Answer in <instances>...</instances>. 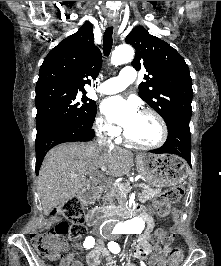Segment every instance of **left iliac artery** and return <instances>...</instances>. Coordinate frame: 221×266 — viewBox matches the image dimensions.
<instances>
[{
	"label": "left iliac artery",
	"mask_w": 221,
	"mask_h": 266,
	"mask_svg": "<svg viewBox=\"0 0 221 266\" xmlns=\"http://www.w3.org/2000/svg\"><path fill=\"white\" fill-rule=\"evenodd\" d=\"M108 249L114 254H117L120 252V246L118 245V243L114 241H110L108 243ZM141 266H146V265L143 262H141Z\"/></svg>",
	"instance_id": "1"
}]
</instances>
